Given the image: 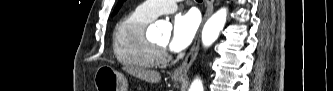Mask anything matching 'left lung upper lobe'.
<instances>
[{
	"label": "left lung upper lobe",
	"mask_w": 333,
	"mask_h": 91,
	"mask_svg": "<svg viewBox=\"0 0 333 91\" xmlns=\"http://www.w3.org/2000/svg\"><path fill=\"white\" fill-rule=\"evenodd\" d=\"M125 0H119L114 12H113V15L119 10V8L121 7L122 3L124 2Z\"/></svg>",
	"instance_id": "1"
}]
</instances>
